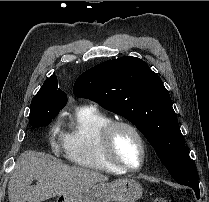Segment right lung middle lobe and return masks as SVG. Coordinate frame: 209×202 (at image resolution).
Here are the masks:
<instances>
[{
  "instance_id": "right-lung-middle-lobe-1",
  "label": "right lung middle lobe",
  "mask_w": 209,
  "mask_h": 202,
  "mask_svg": "<svg viewBox=\"0 0 209 202\" xmlns=\"http://www.w3.org/2000/svg\"><path fill=\"white\" fill-rule=\"evenodd\" d=\"M53 94L51 92H38L31 102V111L29 115V123L34 128L47 126L54 119L59 110L63 107H58L49 104Z\"/></svg>"
}]
</instances>
